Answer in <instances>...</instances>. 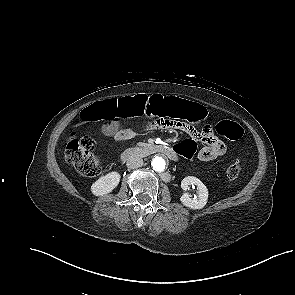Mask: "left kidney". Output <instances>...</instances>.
<instances>
[{
	"instance_id": "1",
	"label": "left kidney",
	"mask_w": 295,
	"mask_h": 295,
	"mask_svg": "<svg viewBox=\"0 0 295 295\" xmlns=\"http://www.w3.org/2000/svg\"><path fill=\"white\" fill-rule=\"evenodd\" d=\"M190 186L197 187V195L192 198L188 193H184L180 198L181 203L193 210L202 209L208 199L207 187L198 178L187 176L181 181V188L186 191L190 189Z\"/></svg>"
}]
</instances>
